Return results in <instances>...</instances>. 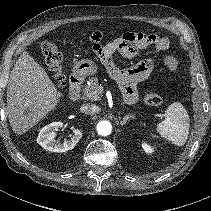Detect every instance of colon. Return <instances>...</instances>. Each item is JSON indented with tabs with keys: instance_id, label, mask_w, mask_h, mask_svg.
<instances>
[{
	"instance_id": "colon-1",
	"label": "colon",
	"mask_w": 211,
	"mask_h": 211,
	"mask_svg": "<svg viewBox=\"0 0 211 211\" xmlns=\"http://www.w3.org/2000/svg\"><path fill=\"white\" fill-rule=\"evenodd\" d=\"M89 43L95 56L107 67V69L112 68L115 65L113 56L116 51H119L125 56H133L138 52V49L148 45L154 46L158 51H164L169 47V40L166 37L137 32H134L130 37L120 36L118 40L109 47L101 44V36H92ZM40 48L47 66L54 74L57 85L61 88L64 87L65 81L61 66L62 53L59 46L53 42L44 41L41 43ZM164 62L170 71H175L177 69V62L173 57H166ZM144 100L148 105L154 107L160 106L163 101L161 96L156 93L146 94Z\"/></svg>"
}]
</instances>
